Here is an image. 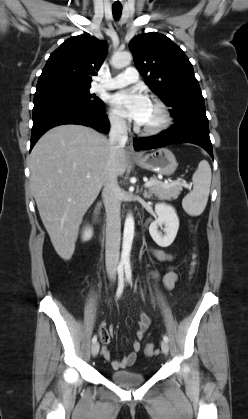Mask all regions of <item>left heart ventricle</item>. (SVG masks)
I'll return each instance as SVG.
<instances>
[{
	"instance_id": "1",
	"label": "left heart ventricle",
	"mask_w": 248,
	"mask_h": 419,
	"mask_svg": "<svg viewBox=\"0 0 248 419\" xmlns=\"http://www.w3.org/2000/svg\"><path fill=\"white\" fill-rule=\"evenodd\" d=\"M160 120V113L159 111L150 104L147 116L145 120L140 124L141 126H152L158 123Z\"/></svg>"
}]
</instances>
